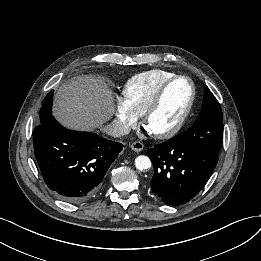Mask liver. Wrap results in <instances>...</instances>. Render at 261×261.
Listing matches in <instances>:
<instances>
[{"mask_svg":"<svg viewBox=\"0 0 261 261\" xmlns=\"http://www.w3.org/2000/svg\"><path fill=\"white\" fill-rule=\"evenodd\" d=\"M113 110L107 84L101 78L84 75L59 87L53 115L68 128L91 131L106 122Z\"/></svg>","mask_w":261,"mask_h":261,"instance_id":"liver-1","label":"liver"}]
</instances>
